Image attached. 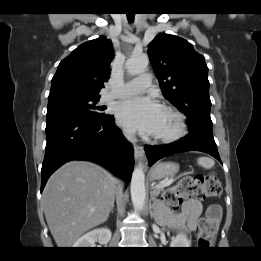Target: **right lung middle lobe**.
Listing matches in <instances>:
<instances>
[{"instance_id": "right-lung-middle-lobe-1", "label": "right lung middle lobe", "mask_w": 261, "mask_h": 261, "mask_svg": "<svg viewBox=\"0 0 261 261\" xmlns=\"http://www.w3.org/2000/svg\"><path fill=\"white\" fill-rule=\"evenodd\" d=\"M100 97H88L76 93H58L48 97L47 119L64 115H82L101 118V107L96 106Z\"/></svg>"}]
</instances>
